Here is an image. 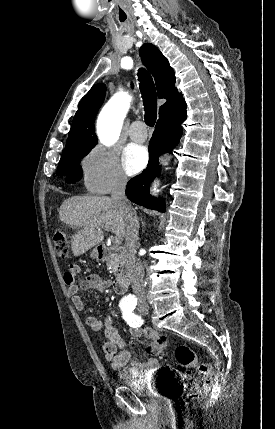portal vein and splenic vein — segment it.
I'll use <instances>...</instances> for the list:
<instances>
[{
  "label": "portal vein and splenic vein",
  "mask_w": 275,
  "mask_h": 429,
  "mask_svg": "<svg viewBox=\"0 0 275 429\" xmlns=\"http://www.w3.org/2000/svg\"><path fill=\"white\" fill-rule=\"evenodd\" d=\"M103 229L104 230H106V231H109L110 230V228L108 227V226H104L103 227ZM113 243L115 244V245H119L120 243H121V238L119 237V236H115L114 237V239H113Z\"/></svg>",
  "instance_id": "portal-vein-and-splenic-vein-1"
}]
</instances>
